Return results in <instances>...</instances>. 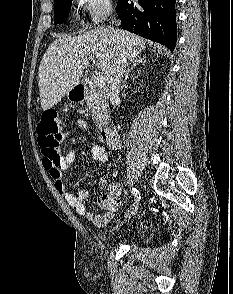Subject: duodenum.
Returning <instances> with one entry per match:
<instances>
[{
	"label": "duodenum",
	"instance_id": "obj_1",
	"mask_svg": "<svg viewBox=\"0 0 233 294\" xmlns=\"http://www.w3.org/2000/svg\"><path fill=\"white\" fill-rule=\"evenodd\" d=\"M73 93L77 99H82L86 93V87L83 84L77 85ZM101 136L103 141L109 146V147H116L118 145V136L117 134L110 128H104L101 132Z\"/></svg>",
	"mask_w": 233,
	"mask_h": 294
}]
</instances>
